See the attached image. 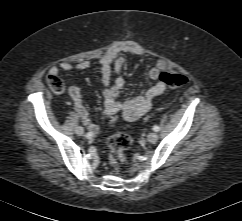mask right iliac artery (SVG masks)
<instances>
[{"instance_id":"82829eb1","label":"right iliac artery","mask_w":242,"mask_h":221,"mask_svg":"<svg viewBox=\"0 0 242 221\" xmlns=\"http://www.w3.org/2000/svg\"><path fill=\"white\" fill-rule=\"evenodd\" d=\"M86 137H87V138H91V137H92V134H91V133H87V134H86Z\"/></svg>"}]
</instances>
